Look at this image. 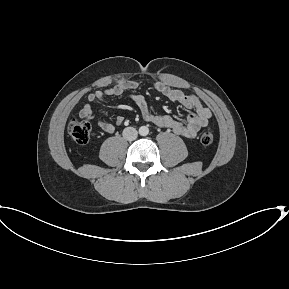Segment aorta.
<instances>
[{
	"instance_id": "obj_1",
	"label": "aorta",
	"mask_w": 289,
	"mask_h": 289,
	"mask_svg": "<svg viewBox=\"0 0 289 289\" xmlns=\"http://www.w3.org/2000/svg\"><path fill=\"white\" fill-rule=\"evenodd\" d=\"M148 133H149V128L147 126H141L139 128V134L141 136H146V135H148Z\"/></svg>"
}]
</instances>
